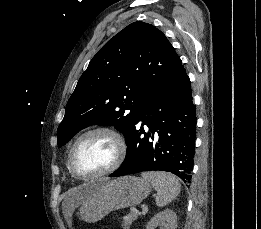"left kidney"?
<instances>
[{
	"label": "left kidney",
	"mask_w": 261,
	"mask_h": 229,
	"mask_svg": "<svg viewBox=\"0 0 261 229\" xmlns=\"http://www.w3.org/2000/svg\"><path fill=\"white\" fill-rule=\"evenodd\" d=\"M157 225H163L165 229H177V217L171 209H165L150 219L146 229H156Z\"/></svg>",
	"instance_id": "5707ae66"
}]
</instances>
